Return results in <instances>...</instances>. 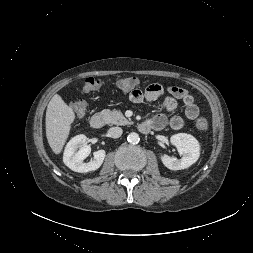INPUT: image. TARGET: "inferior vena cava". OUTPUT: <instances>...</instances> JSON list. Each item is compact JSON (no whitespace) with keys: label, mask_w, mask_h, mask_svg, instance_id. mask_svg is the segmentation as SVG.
<instances>
[{"label":"inferior vena cava","mask_w":253,"mask_h":253,"mask_svg":"<svg viewBox=\"0 0 253 253\" xmlns=\"http://www.w3.org/2000/svg\"><path fill=\"white\" fill-rule=\"evenodd\" d=\"M123 130L120 127H112L108 130V135L112 138H118L122 135Z\"/></svg>","instance_id":"602c4592"}]
</instances>
